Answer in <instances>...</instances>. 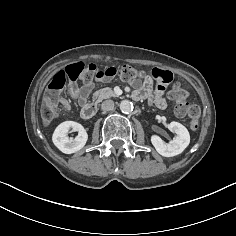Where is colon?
<instances>
[{
    "instance_id": "obj_1",
    "label": "colon",
    "mask_w": 236,
    "mask_h": 236,
    "mask_svg": "<svg viewBox=\"0 0 236 236\" xmlns=\"http://www.w3.org/2000/svg\"><path fill=\"white\" fill-rule=\"evenodd\" d=\"M118 75L125 81H137L142 72L130 65H123L119 68L109 67L106 69H97L94 64L75 63L65 69L59 70L50 80L47 92L41 108L42 120L45 124L51 123L59 112L61 100L58 99V93L67 85L71 89H76L78 81L90 82L93 77L99 79H109ZM172 82V74L166 71L163 74L162 82L158 83L157 90L164 91ZM169 97L175 101L174 111L179 117H189L190 127L197 130L200 120V108L197 105L190 104L187 101L188 92L180 85L175 84L169 91Z\"/></svg>"
}]
</instances>
